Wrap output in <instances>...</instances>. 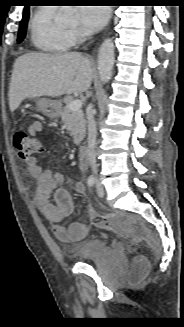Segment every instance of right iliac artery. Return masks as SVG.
Returning <instances> with one entry per match:
<instances>
[{
  "label": "right iliac artery",
  "instance_id": "obj_1",
  "mask_svg": "<svg viewBox=\"0 0 184 327\" xmlns=\"http://www.w3.org/2000/svg\"><path fill=\"white\" fill-rule=\"evenodd\" d=\"M94 184H95V178H94V177H89V178L87 179V185H88L89 187H92Z\"/></svg>",
  "mask_w": 184,
  "mask_h": 327
}]
</instances>
